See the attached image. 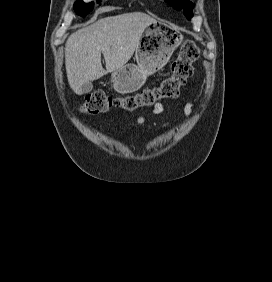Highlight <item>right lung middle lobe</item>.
I'll list each match as a JSON object with an SVG mask.
<instances>
[{
  "label": "right lung middle lobe",
  "instance_id": "right-lung-middle-lobe-1",
  "mask_svg": "<svg viewBox=\"0 0 272 282\" xmlns=\"http://www.w3.org/2000/svg\"><path fill=\"white\" fill-rule=\"evenodd\" d=\"M93 5V3L84 4L83 2L78 1L74 4V10L78 15L85 16L92 10Z\"/></svg>",
  "mask_w": 272,
  "mask_h": 282
}]
</instances>
